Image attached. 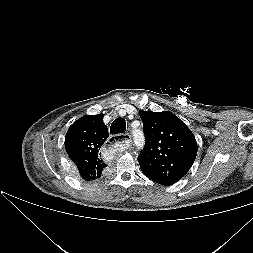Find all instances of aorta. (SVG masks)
Returning a JSON list of instances; mask_svg holds the SVG:
<instances>
[{
    "label": "aorta",
    "mask_w": 253,
    "mask_h": 253,
    "mask_svg": "<svg viewBox=\"0 0 253 253\" xmlns=\"http://www.w3.org/2000/svg\"><path fill=\"white\" fill-rule=\"evenodd\" d=\"M134 139H135V143L140 146L143 143V136L141 133L139 132H135L134 133Z\"/></svg>",
    "instance_id": "aorta-1"
}]
</instances>
